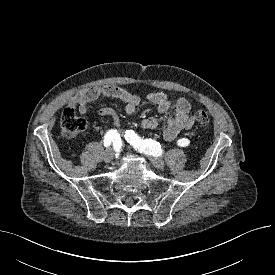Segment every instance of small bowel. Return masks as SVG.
<instances>
[{
  "instance_id": "c3829d8e",
  "label": "small bowel",
  "mask_w": 275,
  "mask_h": 275,
  "mask_svg": "<svg viewBox=\"0 0 275 275\" xmlns=\"http://www.w3.org/2000/svg\"><path fill=\"white\" fill-rule=\"evenodd\" d=\"M99 97H108L119 99L125 103V113L133 115L141 103V98L122 86H89L73 93L68 98V106L84 114L89 109V104ZM150 103L157 107L159 113L167 114L166 125L163 130V136L166 140H174L182 131L190 130L194 125L191 116L192 107L186 98H178L172 103L164 92H153L147 96ZM97 113L101 116L111 118L114 129L119 125L117 113L108 107L100 108ZM159 125L155 117H147L142 120L141 126L144 129H155ZM116 130V129H115ZM118 132V131H117ZM123 137L124 132L119 131Z\"/></svg>"
}]
</instances>
